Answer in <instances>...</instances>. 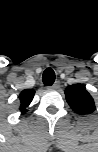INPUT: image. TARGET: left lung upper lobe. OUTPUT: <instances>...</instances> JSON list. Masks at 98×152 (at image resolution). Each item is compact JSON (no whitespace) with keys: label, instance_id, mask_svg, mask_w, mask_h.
<instances>
[{"label":"left lung upper lobe","instance_id":"5c2ea615","mask_svg":"<svg viewBox=\"0 0 98 152\" xmlns=\"http://www.w3.org/2000/svg\"><path fill=\"white\" fill-rule=\"evenodd\" d=\"M65 96L71 109L80 115L90 114L96 109L92 96L82 84L68 86Z\"/></svg>","mask_w":98,"mask_h":152}]
</instances>
